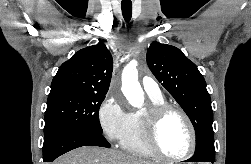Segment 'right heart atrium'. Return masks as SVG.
Segmentation results:
<instances>
[{
    "mask_svg": "<svg viewBox=\"0 0 251 164\" xmlns=\"http://www.w3.org/2000/svg\"><path fill=\"white\" fill-rule=\"evenodd\" d=\"M129 115L118 98L108 96L104 100L98 111V121L108 141H121L128 128Z\"/></svg>",
    "mask_w": 251,
    "mask_h": 164,
    "instance_id": "1",
    "label": "right heart atrium"
}]
</instances>
